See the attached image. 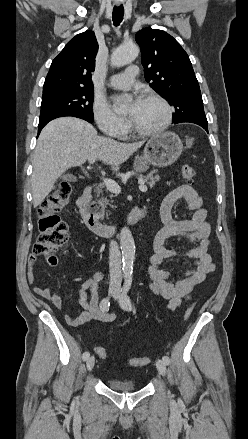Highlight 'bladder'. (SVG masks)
Segmentation results:
<instances>
[{"mask_svg":"<svg viewBox=\"0 0 248 439\" xmlns=\"http://www.w3.org/2000/svg\"><path fill=\"white\" fill-rule=\"evenodd\" d=\"M108 386L111 390L116 392H132L136 388L132 381L117 378L108 379Z\"/></svg>","mask_w":248,"mask_h":439,"instance_id":"1","label":"bladder"}]
</instances>
